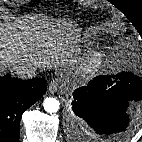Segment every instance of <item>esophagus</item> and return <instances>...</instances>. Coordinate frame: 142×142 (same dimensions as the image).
Here are the masks:
<instances>
[{
    "mask_svg": "<svg viewBox=\"0 0 142 142\" xmlns=\"http://www.w3.org/2000/svg\"><path fill=\"white\" fill-rule=\"evenodd\" d=\"M59 87H60L59 80L53 79V80H51V82L49 84V92L56 93L58 91Z\"/></svg>",
    "mask_w": 142,
    "mask_h": 142,
    "instance_id": "1",
    "label": "esophagus"
}]
</instances>
